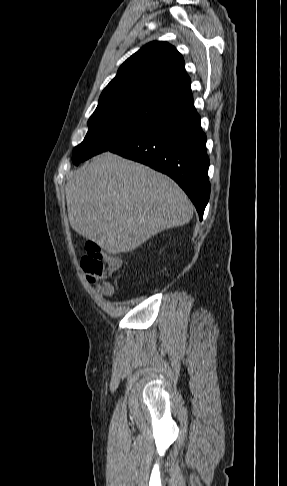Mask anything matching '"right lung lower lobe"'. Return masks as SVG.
<instances>
[{
    "label": "right lung lower lobe",
    "instance_id": "obj_1",
    "mask_svg": "<svg viewBox=\"0 0 287 486\" xmlns=\"http://www.w3.org/2000/svg\"><path fill=\"white\" fill-rule=\"evenodd\" d=\"M206 140L192 101L110 151L170 176L189 196L202 220L210 196Z\"/></svg>",
    "mask_w": 287,
    "mask_h": 486
}]
</instances>
